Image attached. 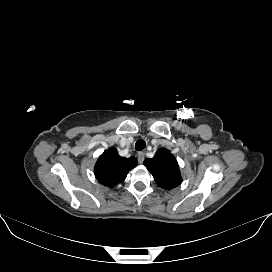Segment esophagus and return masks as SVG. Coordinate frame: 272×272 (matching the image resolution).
Listing matches in <instances>:
<instances>
[{
  "label": "esophagus",
  "mask_w": 272,
  "mask_h": 272,
  "mask_svg": "<svg viewBox=\"0 0 272 272\" xmlns=\"http://www.w3.org/2000/svg\"><path fill=\"white\" fill-rule=\"evenodd\" d=\"M144 158H145V154H144L143 152H139V153H138V162H139L140 164L143 163Z\"/></svg>",
  "instance_id": "esophagus-1"
}]
</instances>
